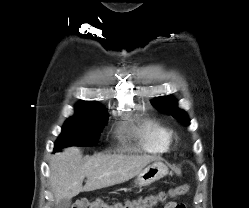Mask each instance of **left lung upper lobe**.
<instances>
[{
  "instance_id": "left-lung-upper-lobe-1",
  "label": "left lung upper lobe",
  "mask_w": 249,
  "mask_h": 208,
  "mask_svg": "<svg viewBox=\"0 0 249 208\" xmlns=\"http://www.w3.org/2000/svg\"><path fill=\"white\" fill-rule=\"evenodd\" d=\"M152 105L162 112L168 113L185 125H189L190 121L187 114L177 109V102L171 96H161L152 101Z\"/></svg>"
}]
</instances>
